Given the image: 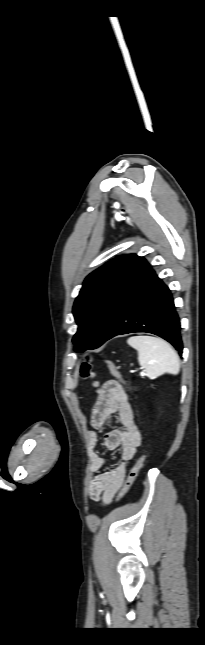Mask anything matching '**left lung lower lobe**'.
I'll return each mask as SVG.
<instances>
[{"label": "left lung lower lobe", "instance_id": "left-lung-lower-lobe-1", "mask_svg": "<svg viewBox=\"0 0 205 645\" xmlns=\"http://www.w3.org/2000/svg\"><path fill=\"white\" fill-rule=\"evenodd\" d=\"M180 329L169 288L148 262L139 257L118 295L104 342L117 335L147 332L170 342L181 356Z\"/></svg>", "mask_w": 205, "mask_h": 645}]
</instances>
